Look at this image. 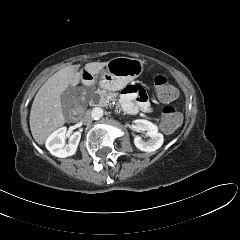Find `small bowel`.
Listing matches in <instances>:
<instances>
[{"instance_id":"obj_1","label":"small bowel","mask_w":240,"mask_h":240,"mask_svg":"<svg viewBox=\"0 0 240 240\" xmlns=\"http://www.w3.org/2000/svg\"><path fill=\"white\" fill-rule=\"evenodd\" d=\"M120 103L124 111L129 114H136L139 111L152 112L148 96L138 84H130L124 88Z\"/></svg>"}]
</instances>
